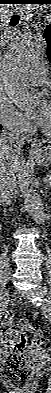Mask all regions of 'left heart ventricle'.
Masks as SVG:
<instances>
[{
    "mask_svg": "<svg viewBox=\"0 0 51 393\" xmlns=\"http://www.w3.org/2000/svg\"><path fill=\"white\" fill-rule=\"evenodd\" d=\"M44 126L46 127L47 130H51V114L48 116L47 122L45 123Z\"/></svg>",
    "mask_w": 51,
    "mask_h": 393,
    "instance_id": "1",
    "label": "left heart ventricle"
}]
</instances>
